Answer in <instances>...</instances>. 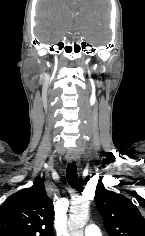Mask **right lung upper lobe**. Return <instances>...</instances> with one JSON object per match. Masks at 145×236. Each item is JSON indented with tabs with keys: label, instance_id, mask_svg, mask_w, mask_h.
I'll list each match as a JSON object with an SVG mask.
<instances>
[{
	"label": "right lung upper lobe",
	"instance_id": "right-lung-upper-lobe-1",
	"mask_svg": "<svg viewBox=\"0 0 145 236\" xmlns=\"http://www.w3.org/2000/svg\"><path fill=\"white\" fill-rule=\"evenodd\" d=\"M54 210L43 180L11 195L0 207V236H54Z\"/></svg>",
	"mask_w": 145,
	"mask_h": 236
}]
</instances>
